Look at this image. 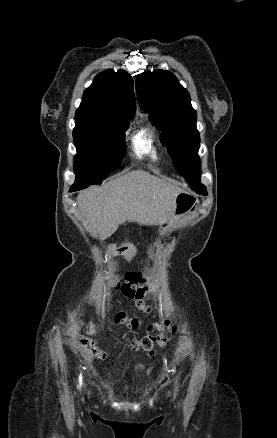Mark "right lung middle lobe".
Returning a JSON list of instances; mask_svg holds the SVG:
<instances>
[{"label":"right lung middle lobe","instance_id":"right-lung-middle-lobe-1","mask_svg":"<svg viewBox=\"0 0 277 438\" xmlns=\"http://www.w3.org/2000/svg\"><path fill=\"white\" fill-rule=\"evenodd\" d=\"M128 126V120L111 125L76 123L73 138L78 155L74 163V188L100 184L120 166L126 152L124 139Z\"/></svg>","mask_w":277,"mask_h":438}]
</instances>
